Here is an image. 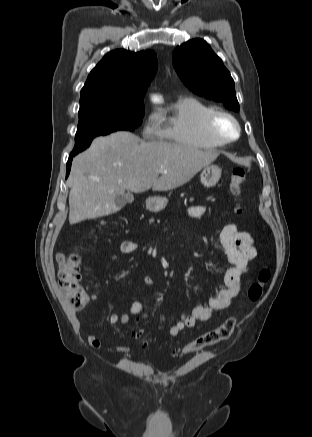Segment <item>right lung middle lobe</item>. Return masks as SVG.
Returning a JSON list of instances; mask_svg holds the SVG:
<instances>
[{
  "label": "right lung middle lobe",
  "mask_w": 312,
  "mask_h": 437,
  "mask_svg": "<svg viewBox=\"0 0 312 437\" xmlns=\"http://www.w3.org/2000/svg\"><path fill=\"white\" fill-rule=\"evenodd\" d=\"M144 116V105L136 107L91 106L80 108L74 156L90 146L93 138L116 131H133Z\"/></svg>",
  "instance_id": "1"
}]
</instances>
